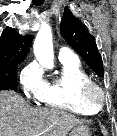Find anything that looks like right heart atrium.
I'll use <instances>...</instances> for the list:
<instances>
[{"label": "right heart atrium", "instance_id": "obj_1", "mask_svg": "<svg viewBox=\"0 0 117 136\" xmlns=\"http://www.w3.org/2000/svg\"><path fill=\"white\" fill-rule=\"evenodd\" d=\"M20 83L27 97L41 101L46 90L47 83L43 72L35 63L28 64L20 73Z\"/></svg>", "mask_w": 117, "mask_h": 136}]
</instances>
